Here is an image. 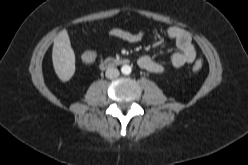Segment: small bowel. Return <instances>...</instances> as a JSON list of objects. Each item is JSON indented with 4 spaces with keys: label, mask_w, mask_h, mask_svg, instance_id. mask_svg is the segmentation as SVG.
I'll list each match as a JSON object with an SVG mask.
<instances>
[{
    "label": "small bowel",
    "mask_w": 248,
    "mask_h": 165,
    "mask_svg": "<svg viewBox=\"0 0 248 165\" xmlns=\"http://www.w3.org/2000/svg\"><path fill=\"white\" fill-rule=\"evenodd\" d=\"M108 35L128 43H137L144 38L142 32H130L120 28L109 30ZM166 35L175 42L178 48V51L171 55L169 63L159 62L149 55H143L137 61L140 68L151 73L161 74L169 69H178L195 61L196 49L186 30L175 26L169 27L166 30Z\"/></svg>",
    "instance_id": "1"
}]
</instances>
